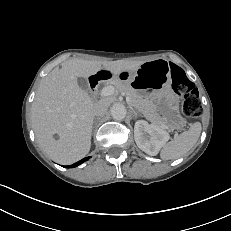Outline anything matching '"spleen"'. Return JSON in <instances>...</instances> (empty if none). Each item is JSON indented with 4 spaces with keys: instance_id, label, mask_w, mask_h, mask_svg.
Wrapping results in <instances>:
<instances>
[{
    "instance_id": "spleen-1",
    "label": "spleen",
    "mask_w": 231,
    "mask_h": 231,
    "mask_svg": "<svg viewBox=\"0 0 231 231\" xmlns=\"http://www.w3.org/2000/svg\"><path fill=\"white\" fill-rule=\"evenodd\" d=\"M201 129L199 122L194 123L188 131L181 133L174 140L165 143L160 152V157L163 160H171L185 155L198 141Z\"/></svg>"
}]
</instances>
